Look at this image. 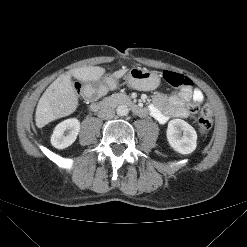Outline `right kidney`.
Segmentation results:
<instances>
[{
    "label": "right kidney",
    "mask_w": 247,
    "mask_h": 247,
    "mask_svg": "<svg viewBox=\"0 0 247 247\" xmlns=\"http://www.w3.org/2000/svg\"><path fill=\"white\" fill-rule=\"evenodd\" d=\"M80 131V122L76 118L60 122L53 131L51 144L57 149H65L72 145Z\"/></svg>",
    "instance_id": "1"
}]
</instances>
